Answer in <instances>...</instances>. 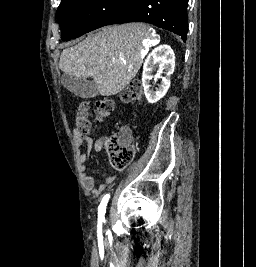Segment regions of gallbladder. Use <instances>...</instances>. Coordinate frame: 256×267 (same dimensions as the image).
I'll return each mask as SVG.
<instances>
[{"instance_id":"gallbladder-1","label":"gallbladder","mask_w":256,"mask_h":267,"mask_svg":"<svg viewBox=\"0 0 256 267\" xmlns=\"http://www.w3.org/2000/svg\"><path fill=\"white\" fill-rule=\"evenodd\" d=\"M60 82L66 90H69L71 94L78 96V98H95L99 94L96 84L85 80V78H76V76L63 74Z\"/></svg>"}]
</instances>
